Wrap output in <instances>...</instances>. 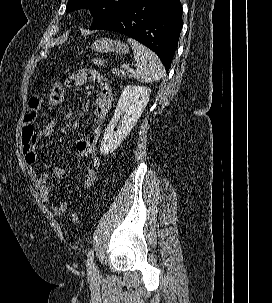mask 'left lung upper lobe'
<instances>
[{"label":"left lung upper lobe","mask_w":272,"mask_h":303,"mask_svg":"<svg viewBox=\"0 0 272 303\" xmlns=\"http://www.w3.org/2000/svg\"><path fill=\"white\" fill-rule=\"evenodd\" d=\"M138 0H69L67 12L79 8H88L94 17L91 30L96 29L109 19L126 10Z\"/></svg>","instance_id":"obj_1"}]
</instances>
